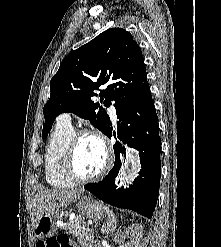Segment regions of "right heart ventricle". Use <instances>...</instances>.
<instances>
[{
	"label": "right heart ventricle",
	"instance_id": "right-heart-ventricle-1",
	"mask_svg": "<svg viewBox=\"0 0 221 247\" xmlns=\"http://www.w3.org/2000/svg\"><path fill=\"white\" fill-rule=\"evenodd\" d=\"M74 134L72 125L57 122L46 146L44 172L47 182L56 188H67L74 185L65 171V156L68 145Z\"/></svg>",
	"mask_w": 221,
	"mask_h": 247
}]
</instances>
